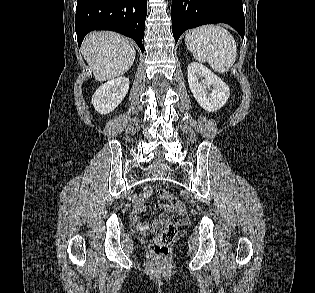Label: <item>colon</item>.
I'll list each match as a JSON object with an SVG mask.
<instances>
[{"instance_id": "obj_1", "label": "colon", "mask_w": 315, "mask_h": 293, "mask_svg": "<svg viewBox=\"0 0 315 293\" xmlns=\"http://www.w3.org/2000/svg\"><path fill=\"white\" fill-rule=\"evenodd\" d=\"M160 201L167 202L171 208H175L178 215L177 220L183 221L185 218V205L172 193L165 189H159L156 192ZM177 233L175 223L167 222L161 230H156V236L151 240L149 248L154 258L165 261L169 257V247Z\"/></svg>"}]
</instances>
